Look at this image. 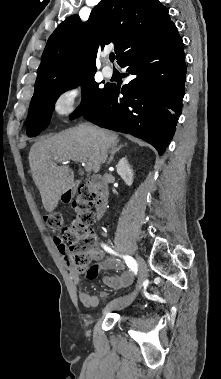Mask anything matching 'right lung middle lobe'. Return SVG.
<instances>
[{
	"label": "right lung middle lobe",
	"instance_id": "right-lung-middle-lobe-1",
	"mask_svg": "<svg viewBox=\"0 0 221 379\" xmlns=\"http://www.w3.org/2000/svg\"><path fill=\"white\" fill-rule=\"evenodd\" d=\"M94 74L95 72H92L73 78L58 80L35 92L29 107L27 135L34 137L45 129L49 124L51 113L54 110V104L60 94L79 84L82 86V103L70 118H77L91 108L109 86L106 84L104 88H99V83L94 80Z\"/></svg>",
	"mask_w": 221,
	"mask_h": 379
}]
</instances>
